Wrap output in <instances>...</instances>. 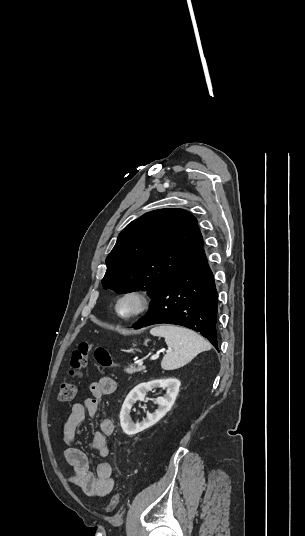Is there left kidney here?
I'll return each instance as SVG.
<instances>
[{
  "label": "left kidney",
  "instance_id": "left-kidney-1",
  "mask_svg": "<svg viewBox=\"0 0 305 536\" xmlns=\"http://www.w3.org/2000/svg\"><path fill=\"white\" fill-rule=\"evenodd\" d=\"M181 382L176 380V378H166V380H152V382H143V384H138L127 398L124 400V404L120 412V424L122 426L123 432L127 436H134L138 432H143L146 428H151L156 422H159L169 410H171L179 392ZM153 388H166V394L163 398H157L156 404H158V410H155L154 414H146L145 420H142L140 424H134L131 422V410L133 404H136L137 400L140 402H145L146 392H150Z\"/></svg>",
  "mask_w": 305,
  "mask_h": 536
}]
</instances>
